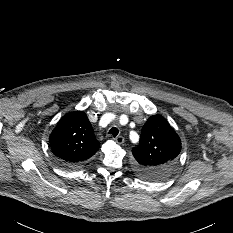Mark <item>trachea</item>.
I'll use <instances>...</instances> for the list:
<instances>
[{
	"label": "trachea",
	"mask_w": 233,
	"mask_h": 233,
	"mask_svg": "<svg viewBox=\"0 0 233 233\" xmlns=\"http://www.w3.org/2000/svg\"><path fill=\"white\" fill-rule=\"evenodd\" d=\"M119 133V130L116 128V127H112L110 130H109V134H111L113 137H116Z\"/></svg>",
	"instance_id": "3493384b"
}]
</instances>
